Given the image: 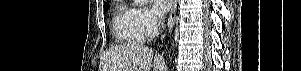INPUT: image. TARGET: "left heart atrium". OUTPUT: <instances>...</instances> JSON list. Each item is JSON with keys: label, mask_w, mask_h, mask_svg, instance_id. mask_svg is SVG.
<instances>
[{"label": "left heart atrium", "mask_w": 301, "mask_h": 71, "mask_svg": "<svg viewBox=\"0 0 301 71\" xmlns=\"http://www.w3.org/2000/svg\"><path fill=\"white\" fill-rule=\"evenodd\" d=\"M171 0H152L154 10L159 14H164L171 6Z\"/></svg>", "instance_id": "1"}]
</instances>
